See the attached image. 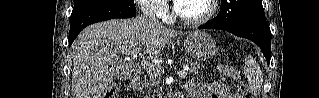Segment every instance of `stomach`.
<instances>
[{
	"mask_svg": "<svg viewBox=\"0 0 319 98\" xmlns=\"http://www.w3.org/2000/svg\"><path fill=\"white\" fill-rule=\"evenodd\" d=\"M186 53L196 60H207L216 53V43L204 31H192L184 40Z\"/></svg>",
	"mask_w": 319,
	"mask_h": 98,
	"instance_id": "1",
	"label": "stomach"
}]
</instances>
